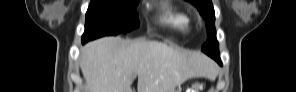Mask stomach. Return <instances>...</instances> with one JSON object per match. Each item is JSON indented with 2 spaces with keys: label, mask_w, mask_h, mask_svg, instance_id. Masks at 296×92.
<instances>
[{
  "label": "stomach",
  "mask_w": 296,
  "mask_h": 92,
  "mask_svg": "<svg viewBox=\"0 0 296 92\" xmlns=\"http://www.w3.org/2000/svg\"><path fill=\"white\" fill-rule=\"evenodd\" d=\"M171 92H181L180 89H178L177 91L174 89Z\"/></svg>",
  "instance_id": "obj_1"
}]
</instances>
